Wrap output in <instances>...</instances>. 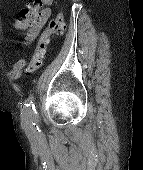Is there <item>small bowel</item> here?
I'll use <instances>...</instances> for the list:
<instances>
[{
    "label": "small bowel",
    "mask_w": 143,
    "mask_h": 170,
    "mask_svg": "<svg viewBox=\"0 0 143 170\" xmlns=\"http://www.w3.org/2000/svg\"><path fill=\"white\" fill-rule=\"evenodd\" d=\"M43 4H45V8H43L42 10H38L37 14H36V18L34 19V21L27 27H23L20 26L21 25V21L20 19H17L15 21V27L17 29H29L28 35H27V42H31L35 39V37L37 36V34L39 33V31L41 30V28L44 26V24L46 23V21L49 19L50 15H51V4L53 2V0H41ZM25 66V60L24 59H20L18 60L14 66L12 67V69L9 72V77L11 79H18L21 76V72L23 67Z\"/></svg>",
    "instance_id": "obj_1"
}]
</instances>
